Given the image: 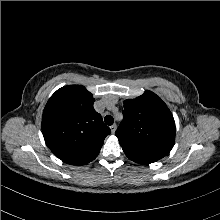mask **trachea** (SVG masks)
<instances>
[{"label":"trachea","mask_w":220,"mask_h":220,"mask_svg":"<svg viewBox=\"0 0 220 220\" xmlns=\"http://www.w3.org/2000/svg\"><path fill=\"white\" fill-rule=\"evenodd\" d=\"M104 121H105V123L107 124V125H112L113 124V122H114V119H113V117L112 116H110V115H107L105 118H104Z\"/></svg>","instance_id":"trachea-1"}]
</instances>
